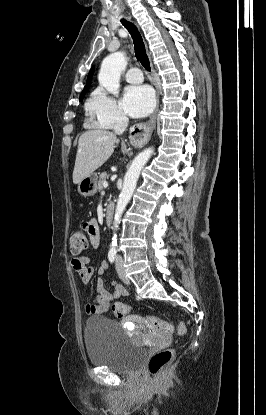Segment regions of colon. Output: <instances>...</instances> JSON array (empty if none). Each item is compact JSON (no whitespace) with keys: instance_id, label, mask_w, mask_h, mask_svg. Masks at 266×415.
Returning <instances> with one entry per match:
<instances>
[{"instance_id":"5ec220e1","label":"colon","mask_w":266,"mask_h":415,"mask_svg":"<svg viewBox=\"0 0 266 415\" xmlns=\"http://www.w3.org/2000/svg\"><path fill=\"white\" fill-rule=\"evenodd\" d=\"M70 250L73 254H79L87 248L88 240L85 234L81 231H74L69 237ZM131 308L129 305L123 302H116L112 306V311L116 317L122 318L130 312ZM147 323L158 332L163 334H170L174 328L172 324L164 321L156 316H147ZM178 334L180 336L185 335L186 327L183 323L178 326ZM174 352L172 349H162L155 352L149 360V371L153 376L161 375L170 362L172 361Z\"/></svg>"}]
</instances>
